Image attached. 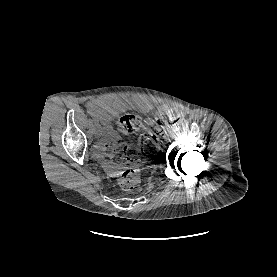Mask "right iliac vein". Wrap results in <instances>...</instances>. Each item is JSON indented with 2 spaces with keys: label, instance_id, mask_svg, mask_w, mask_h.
<instances>
[{
  "label": "right iliac vein",
  "instance_id": "1",
  "mask_svg": "<svg viewBox=\"0 0 277 277\" xmlns=\"http://www.w3.org/2000/svg\"><path fill=\"white\" fill-rule=\"evenodd\" d=\"M95 137H99V132H95Z\"/></svg>",
  "mask_w": 277,
  "mask_h": 277
}]
</instances>
